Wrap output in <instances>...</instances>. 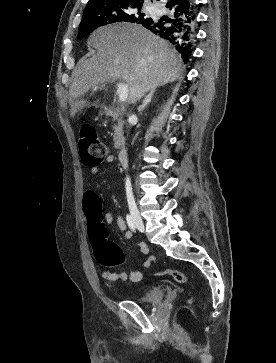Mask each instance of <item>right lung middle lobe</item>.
<instances>
[{
  "label": "right lung middle lobe",
  "mask_w": 276,
  "mask_h": 363,
  "mask_svg": "<svg viewBox=\"0 0 276 363\" xmlns=\"http://www.w3.org/2000/svg\"><path fill=\"white\" fill-rule=\"evenodd\" d=\"M143 3L112 0L87 6L79 25L78 38L88 36L94 29L120 21L139 23L146 19L141 13Z\"/></svg>",
  "instance_id": "dd1d6c3e"
}]
</instances>
